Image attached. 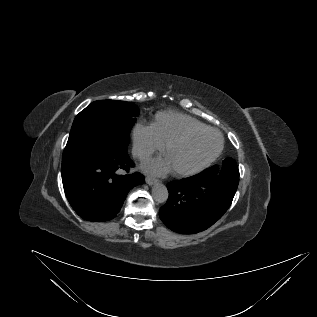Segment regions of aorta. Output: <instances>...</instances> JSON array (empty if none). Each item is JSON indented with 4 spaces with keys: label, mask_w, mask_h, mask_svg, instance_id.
<instances>
[{
    "label": "aorta",
    "mask_w": 317,
    "mask_h": 317,
    "mask_svg": "<svg viewBox=\"0 0 317 317\" xmlns=\"http://www.w3.org/2000/svg\"><path fill=\"white\" fill-rule=\"evenodd\" d=\"M169 196L168 190L163 184H156L152 188V197L158 203H164Z\"/></svg>",
    "instance_id": "1"
}]
</instances>
